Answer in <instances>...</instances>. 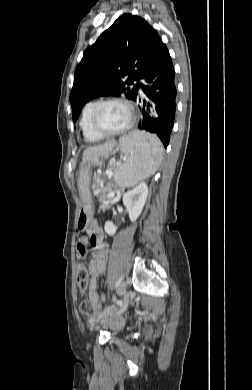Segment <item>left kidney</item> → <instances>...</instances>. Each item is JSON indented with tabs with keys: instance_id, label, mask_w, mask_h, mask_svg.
Segmentation results:
<instances>
[{
	"instance_id": "obj_1",
	"label": "left kidney",
	"mask_w": 252,
	"mask_h": 390,
	"mask_svg": "<svg viewBox=\"0 0 252 390\" xmlns=\"http://www.w3.org/2000/svg\"><path fill=\"white\" fill-rule=\"evenodd\" d=\"M148 195V187L146 183H141L136 186L134 189L128 191L123 196V203L126 206V209L129 214V218L134 222L139 215L141 214L143 207L145 205ZM105 232L113 236L116 233L117 228L111 221L105 223Z\"/></svg>"
}]
</instances>
